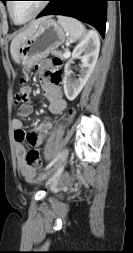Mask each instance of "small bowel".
I'll return each instance as SVG.
<instances>
[{
	"label": "small bowel",
	"mask_w": 133,
	"mask_h": 253,
	"mask_svg": "<svg viewBox=\"0 0 133 253\" xmlns=\"http://www.w3.org/2000/svg\"><path fill=\"white\" fill-rule=\"evenodd\" d=\"M36 70L41 77L43 94L49 101L48 109L50 113L61 114L67 107V101L62 91L61 72L53 68L48 60L38 62ZM33 110L32 104L21 105L17 112L18 117L12 120L17 164L21 174L28 180L34 178L36 171L27 162V151L24 142L27 141L32 147H39L52 129L51 122L46 121L36 129L26 132L23 129L22 118L31 115Z\"/></svg>",
	"instance_id": "small-bowel-1"
}]
</instances>
